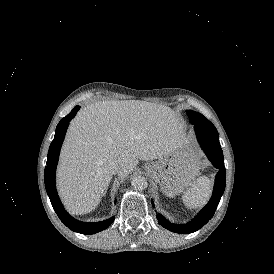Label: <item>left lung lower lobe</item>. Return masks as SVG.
<instances>
[{
	"instance_id": "0a47b994",
	"label": "left lung lower lobe",
	"mask_w": 274,
	"mask_h": 274,
	"mask_svg": "<svg viewBox=\"0 0 274 274\" xmlns=\"http://www.w3.org/2000/svg\"><path fill=\"white\" fill-rule=\"evenodd\" d=\"M189 121L194 125L198 141L206 153L211 163L219 169L216 175L214 190L208 204L189 223L184 225L172 224L161 214H157L158 223L166 229L180 234L192 233L200 229L214 215L221 196L225 190L226 170L223 162V153L219 143V135L215 126L208 119L199 117H189ZM154 206V203L152 201Z\"/></svg>"
}]
</instances>
